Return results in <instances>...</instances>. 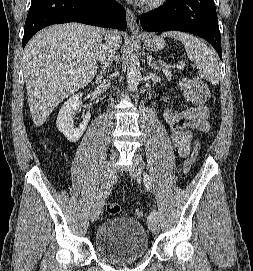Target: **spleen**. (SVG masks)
Returning <instances> with one entry per match:
<instances>
[{
	"label": "spleen",
	"mask_w": 253,
	"mask_h": 271,
	"mask_svg": "<svg viewBox=\"0 0 253 271\" xmlns=\"http://www.w3.org/2000/svg\"><path fill=\"white\" fill-rule=\"evenodd\" d=\"M162 37L174 38L181 41L188 57L198 66L200 77L212 84L219 83V66L212 50L197 37L180 31H166Z\"/></svg>",
	"instance_id": "spleen-1"
}]
</instances>
